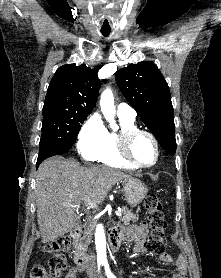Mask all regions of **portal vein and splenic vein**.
<instances>
[{"label":"portal vein and splenic vein","instance_id":"portal-vein-and-splenic-vein-1","mask_svg":"<svg viewBox=\"0 0 221 278\" xmlns=\"http://www.w3.org/2000/svg\"><path fill=\"white\" fill-rule=\"evenodd\" d=\"M83 204H84L85 206L89 207V208H92V209H96V208L98 207L97 203L91 201L90 199L84 200V201H83ZM71 206H73V205H71ZM115 214H116L117 216H122L121 210H116V211H115Z\"/></svg>","mask_w":221,"mask_h":278}]
</instances>
